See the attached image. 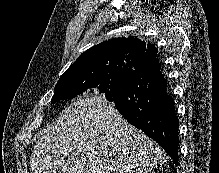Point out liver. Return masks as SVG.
I'll return each instance as SVG.
<instances>
[{
  "label": "liver",
  "instance_id": "liver-1",
  "mask_svg": "<svg viewBox=\"0 0 219 173\" xmlns=\"http://www.w3.org/2000/svg\"><path fill=\"white\" fill-rule=\"evenodd\" d=\"M166 155L101 95L79 98L45 128L30 158L33 173H148Z\"/></svg>",
  "mask_w": 219,
  "mask_h": 173
}]
</instances>
